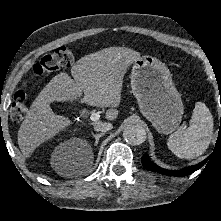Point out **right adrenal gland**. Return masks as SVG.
<instances>
[{
    "instance_id": "2a0ac1e0",
    "label": "right adrenal gland",
    "mask_w": 221,
    "mask_h": 221,
    "mask_svg": "<svg viewBox=\"0 0 221 221\" xmlns=\"http://www.w3.org/2000/svg\"><path fill=\"white\" fill-rule=\"evenodd\" d=\"M91 134H92V136L95 138V144H94L95 146L98 144L99 138L104 135V133L94 134L93 132H92Z\"/></svg>"
}]
</instances>
